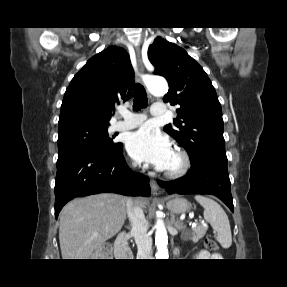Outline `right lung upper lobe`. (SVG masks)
<instances>
[{
	"label": "right lung upper lobe",
	"mask_w": 287,
	"mask_h": 287,
	"mask_svg": "<svg viewBox=\"0 0 287 287\" xmlns=\"http://www.w3.org/2000/svg\"><path fill=\"white\" fill-rule=\"evenodd\" d=\"M134 71L128 53L111 46L96 54L66 89L58 126L87 122L109 126L115 104L132 97Z\"/></svg>",
	"instance_id": "1"
}]
</instances>
